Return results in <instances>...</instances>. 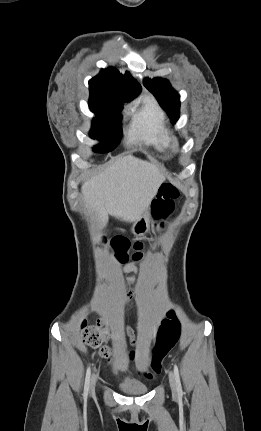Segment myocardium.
<instances>
[{"label": "myocardium", "mask_w": 261, "mask_h": 431, "mask_svg": "<svg viewBox=\"0 0 261 431\" xmlns=\"http://www.w3.org/2000/svg\"><path fill=\"white\" fill-rule=\"evenodd\" d=\"M169 146L174 150L177 151L179 149V141L176 137L170 136Z\"/></svg>", "instance_id": "1"}]
</instances>
